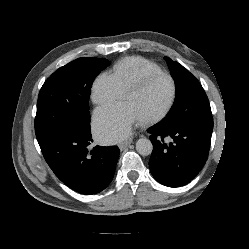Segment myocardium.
I'll return each instance as SVG.
<instances>
[{
    "instance_id": "myocardium-1",
    "label": "myocardium",
    "mask_w": 249,
    "mask_h": 249,
    "mask_svg": "<svg viewBox=\"0 0 249 249\" xmlns=\"http://www.w3.org/2000/svg\"><path fill=\"white\" fill-rule=\"evenodd\" d=\"M157 78H166L169 80V82L171 84V96H170L167 104L164 106L163 109H161L159 112H157L149 117L142 118L141 121L144 123L157 121V120L165 117L169 113V111L172 109V107L175 103V100H176V96H177V86H176V82H175L174 78L165 72L147 74V75H144L143 77H141L140 79H138L133 84H131L124 91V97H126L129 94H132V93H135V92L142 90L148 83H150L152 80L157 79Z\"/></svg>"
}]
</instances>
